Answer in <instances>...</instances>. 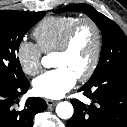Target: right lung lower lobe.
Returning a JSON list of instances; mask_svg holds the SVG:
<instances>
[{
    "instance_id": "obj_1",
    "label": "right lung lower lobe",
    "mask_w": 127,
    "mask_h": 127,
    "mask_svg": "<svg viewBox=\"0 0 127 127\" xmlns=\"http://www.w3.org/2000/svg\"><path fill=\"white\" fill-rule=\"evenodd\" d=\"M28 88V80L17 85L0 82V127H33L35 114L46 109V102L36 97L28 98L21 110L15 106Z\"/></svg>"
}]
</instances>
